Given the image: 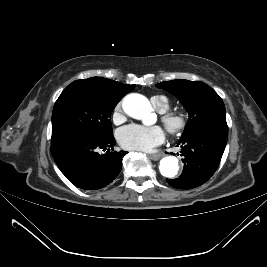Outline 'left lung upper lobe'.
Returning a JSON list of instances; mask_svg holds the SVG:
<instances>
[{
	"label": "left lung upper lobe",
	"mask_w": 267,
	"mask_h": 267,
	"mask_svg": "<svg viewBox=\"0 0 267 267\" xmlns=\"http://www.w3.org/2000/svg\"><path fill=\"white\" fill-rule=\"evenodd\" d=\"M157 86L176 96L190 115L181 140L205 131L228 132L224 103L207 84L179 79Z\"/></svg>",
	"instance_id": "5c2ea615"
}]
</instances>
